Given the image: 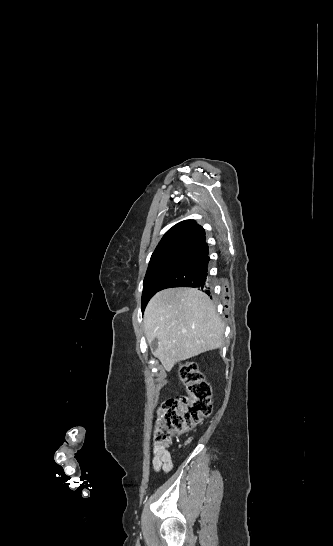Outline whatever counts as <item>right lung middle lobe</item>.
Returning a JSON list of instances; mask_svg holds the SVG:
<instances>
[{
    "label": "right lung middle lobe",
    "mask_w": 333,
    "mask_h": 546,
    "mask_svg": "<svg viewBox=\"0 0 333 546\" xmlns=\"http://www.w3.org/2000/svg\"><path fill=\"white\" fill-rule=\"evenodd\" d=\"M188 250L170 249L153 254L143 282L142 307H145L155 294L159 278Z\"/></svg>",
    "instance_id": "1"
}]
</instances>
